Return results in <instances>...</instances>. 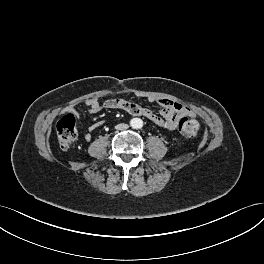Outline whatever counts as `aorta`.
Wrapping results in <instances>:
<instances>
[{
	"label": "aorta",
	"mask_w": 264,
	"mask_h": 264,
	"mask_svg": "<svg viewBox=\"0 0 264 264\" xmlns=\"http://www.w3.org/2000/svg\"><path fill=\"white\" fill-rule=\"evenodd\" d=\"M130 125L134 129H140L143 126V121L140 118H133L130 121Z\"/></svg>",
	"instance_id": "762f6f07"
}]
</instances>
